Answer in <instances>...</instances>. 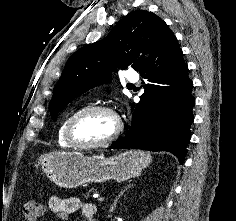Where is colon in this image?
Masks as SVG:
<instances>
[{"instance_id": "obj_1", "label": "colon", "mask_w": 236, "mask_h": 221, "mask_svg": "<svg viewBox=\"0 0 236 221\" xmlns=\"http://www.w3.org/2000/svg\"><path fill=\"white\" fill-rule=\"evenodd\" d=\"M43 213V206L35 200H26L22 204L24 221H37Z\"/></svg>"}]
</instances>
